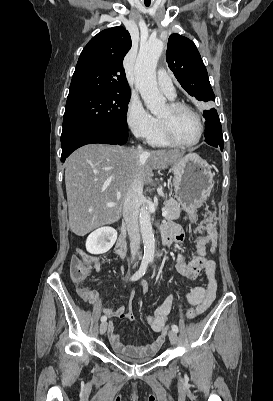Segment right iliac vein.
<instances>
[{"label":"right iliac vein","instance_id":"right-iliac-vein-1","mask_svg":"<svg viewBox=\"0 0 273 401\" xmlns=\"http://www.w3.org/2000/svg\"><path fill=\"white\" fill-rule=\"evenodd\" d=\"M107 322H102L101 323V325H100V334H104L105 332H106V330H107Z\"/></svg>","mask_w":273,"mask_h":401}]
</instances>
